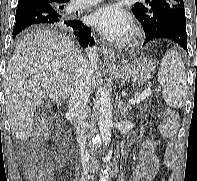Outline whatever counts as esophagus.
Here are the masks:
<instances>
[{
  "instance_id": "esophagus-1",
  "label": "esophagus",
  "mask_w": 197,
  "mask_h": 181,
  "mask_svg": "<svg viewBox=\"0 0 197 181\" xmlns=\"http://www.w3.org/2000/svg\"><path fill=\"white\" fill-rule=\"evenodd\" d=\"M102 52L104 54V60L108 63L111 67H115V61L117 59L116 53L109 47L103 46Z\"/></svg>"
}]
</instances>
